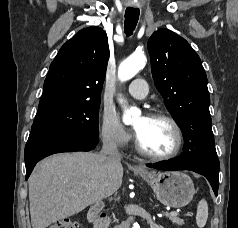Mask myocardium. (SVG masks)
Wrapping results in <instances>:
<instances>
[{
  "label": "myocardium",
  "instance_id": "obj_1",
  "mask_svg": "<svg viewBox=\"0 0 238 228\" xmlns=\"http://www.w3.org/2000/svg\"><path fill=\"white\" fill-rule=\"evenodd\" d=\"M149 118H154V119H164L166 121H168L175 133V145L173 147V149L165 154H154V153H150L149 151L145 150L144 147L141 145L138 137L136 136L135 138V147L136 150L138 151V153L146 158L149 159H153V160H159V161H163V160H169L172 159L174 157H176L183 145V133H182V129L180 127V125L178 124V122L176 121V119L171 116L170 114L163 112V111H153L151 113L148 114Z\"/></svg>",
  "mask_w": 238,
  "mask_h": 228
}]
</instances>
